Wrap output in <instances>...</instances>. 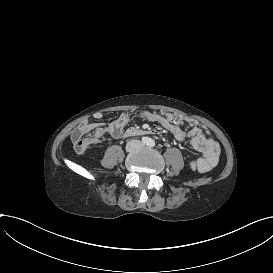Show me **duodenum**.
<instances>
[{
	"instance_id": "410a0bca",
	"label": "duodenum",
	"mask_w": 273,
	"mask_h": 273,
	"mask_svg": "<svg viewBox=\"0 0 273 273\" xmlns=\"http://www.w3.org/2000/svg\"><path fill=\"white\" fill-rule=\"evenodd\" d=\"M156 133L157 132L155 130H145V129H140L137 127H130L126 130L124 135L126 137H131V136L151 135Z\"/></svg>"
}]
</instances>
